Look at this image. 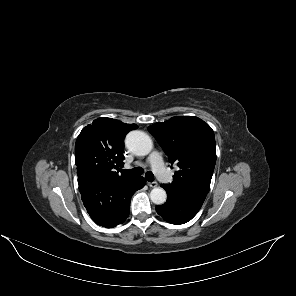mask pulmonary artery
Returning <instances> with one entry per match:
<instances>
[{
    "label": "pulmonary artery",
    "instance_id": "1",
    "mask_svg": "<svg viewBox=\"0 0 296 296\" xmlns=\"http://www.w3.org/2000/svg\"><path fill=\"white\" fill-rule=\"evenodd\" d=\"M148 163L152 167L155 174L164 181L170 180V175L164 166V162L161 154L158 151H154L148 158Z\"/></svg>",
    "mask_w": 296,
    "mask_h": 296
}]
</instances>
